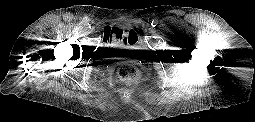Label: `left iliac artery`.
<instances>
[{
	"label": "left iliac artery",
	"instance_id": "obj_1",
	"mask_svg": "<svg viewBox=\"0 0 255 122\" xmlns=\"http://www.w3.org/2000/svg\"><path fill=\"white\" fill-rule=\"evenodd\" d=\"M151 25L155 27L157 25V21H152Z\"/></svg>",
	"mask_w": 255,
	"mask_h": 122
}]
</instances>
